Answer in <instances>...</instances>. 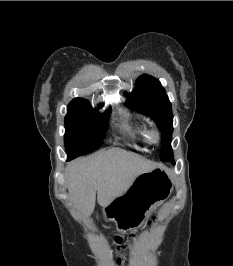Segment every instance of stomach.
I'll use <instances>...</instances> for the list:
<instances>
[{"label":"stomach","mask_w":233,"mask_h":266,"mask_svg":"<svg viewBox=\"0 0 233 266\" xmlns=\"http://www.w3.org/2000/svg\"><path fill=\"white\" fill-rule=\"evenodd\" d=\"M171 176H174L172 167L157 166L140 174L125 194L111 199L102 214L108 225L114 226L113 232H132V228H140V223L170 194Z\"/></svg>","instance_id":"obj_1"}]
</instances>
